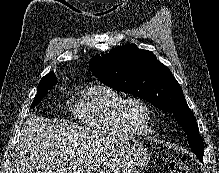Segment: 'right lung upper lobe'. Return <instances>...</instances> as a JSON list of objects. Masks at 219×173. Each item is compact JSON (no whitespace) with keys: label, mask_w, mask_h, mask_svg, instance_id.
<instances>
[{"label":"right lung upper lobe","mask_w":219,"mask_h":173,"mask_svg":"<svg viewBox=\"0 0 219 173\" xmlns=\"http://www.w3.org/2000/svg\"><path fill=\"white\" fill-rule=\"evenodd\" d=\"M47 76H49V77H55V78H56L54 72H50V73H48V74H47L46 76H44V77H47ZM44 77H43V78H44ZM55 82H57L56 79H55Z\"/></svg>","instance_id":"right-lung-upper-lobe-1"}]
</instances>
